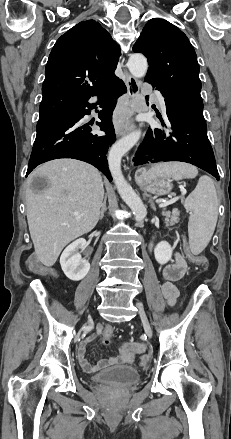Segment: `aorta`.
I'll return each instance as SVG.
<instances>
[{"mask_svg": "<svg viewBox=\"0 0 231 439\" xmlns=\"http://www.w3.org/2000/svg\"><path fill=\"white\" fill-rule=\"evenodd\" d=\"M128 68L133 77H144L148 69L146 57L141 53L132 54L128 60ZM140 137L141 130L133 131L124 136L111 147L108 155V165L117 191L122 200L132 210L137 222L142 221L146 217L147 210L140 197L125 180L121 170V160L122 157L138 142Z\"/></svg>", "mask_w": 231, "mask_h": 439, "instance_id": "1", "label": "aorta"}]
</instances>
